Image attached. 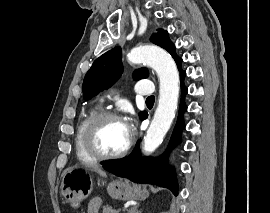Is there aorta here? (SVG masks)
Wrapping results in <instances>:
<instances>
[{"instance_id": "obj_1", "label": "aorta", "mask_w": 270, "mask_h": 213, "mask_svg": "<svg viewBox=\"0 0 270 213\" xmlns=\"http://www.w3.org/2000/svg\"><path fill=\"white\" fill-rule=\"evenodd\" d=\"M127 58L132 63H146L152 67L160 81V95L154 118L144 137V152L155 151L168 132L177 109L179 97V73L172 57L155 46L132 49Z\"/></svg>"}]
</instances>
